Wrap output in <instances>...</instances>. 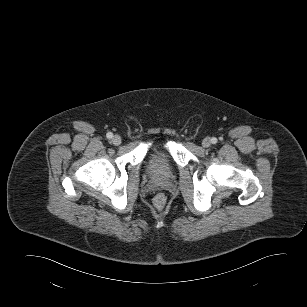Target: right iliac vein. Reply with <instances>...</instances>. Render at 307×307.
<instances>
[{
    "instance_id": "right-iliac-vein-1",
    "label": "right iliac vein",
    "mask_w": 307,
    "mask_h": 307,
    "mask_svg": "<svg viewBox=\"0 0 307 307\" xmlns=\"http://www.w3.org/2000/svg\"><path fill=\"white\" fill-rule=\"evenodd\" d=\"M112 143L116 146L121 144V137L118 135H115L112 139Z\"/></svg>"
}]
</instances>
